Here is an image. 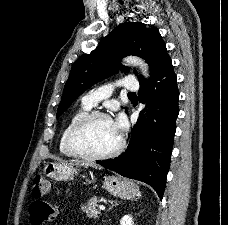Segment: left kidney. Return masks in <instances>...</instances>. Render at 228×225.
I'll list each match as a JSON object with an SVG mask.
<instances>
[{
	"instance_id": "1",
	"label": "left kidney",
	"mask_w": 228,
	"mask_h": 225,
	"mask_svg": "<svg viewBox=\"0 0 228 225\" xmlns=\"http://www.w3.org/2000/svg\"><path fill=\"white\" fill-rule=\"evenodd\" d=\"M120 225H134L131 215H124L120 221Z\"/></svg>"
}]
</instances>
